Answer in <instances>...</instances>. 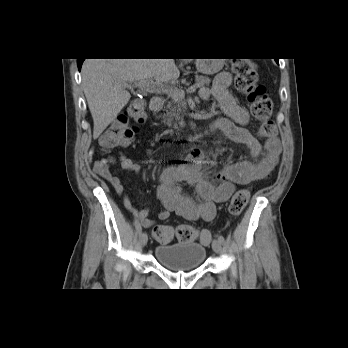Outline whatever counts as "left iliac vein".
Here are the masks:
<instances>
[{
    "label": "left iliac vein",
    "instance_id": "1",
    "mask_svg": "<svg viewBox=\"0 0 348 348\" xmlns=\"http://www.w3.org/2000/svg\"><path fill=\"white\" fill-rule=\"evenodd\" d=\"M212 248L215 253H221L222 243L218 239H215L212 243Z\"/></svg>",
    "mask_w": 348,
    "mask_h": 348
}]
</instances>
